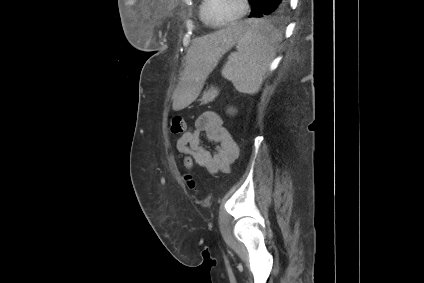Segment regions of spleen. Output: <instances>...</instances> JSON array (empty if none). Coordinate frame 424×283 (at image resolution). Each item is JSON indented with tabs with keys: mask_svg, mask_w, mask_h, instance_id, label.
<instances>
[{
	"mask_svg": "<svg viewBox=\"0 0 424 283\" xmlns=\"http://www.w3.org/2000/svg\"><path fill=\"white\" fill-rule=\"evenodd\" d=\"M246 31L228 57L222 75L241 93L254 94L260 90L266 71L276 55L278 30L261 20L249 19Z\"/></svg>",
	"mask_w": 424,
	"mask_h": 283,
	"instance_id": "3e777b00",
	"label": "spleen"
}]
</instances>
